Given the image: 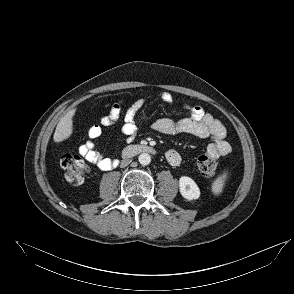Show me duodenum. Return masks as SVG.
I'll list each match as a JSON object with an SVG mask.
<instances>
[{
  "mask_svg": "<svg viewBox=\"0 0 294 294\" xmlns=\"http://www.w3.org/2000/svg\"><path fill=\"white\" fill-rule=\"evenodd\" d=\"M153 148L147 145L134 144L126 147L123 151V158L128 159L139 153H151Z\"/></svg>",
  "mask_w": 294,
  "mask_h": 294,
  "instance_id": "1",
  "label": "duodenum"
}]
</instances>
